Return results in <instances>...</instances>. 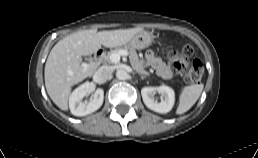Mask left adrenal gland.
Instances as JSON below:
<instances>
[{"label":"left adrenal gland","instance_id":"left-adrenal-gland-1","mask_svg":"<svg viewBox=\"0 0 258 158\" xmlns=\"http://www.w3.org/2000/svg\"><path fill=\"white\" fill-rule=\"evenodd\" d=\"M141 78H145V76L141 75Z\"/></svg>","mask_w":258,"mask_h":158}]
</instances>
